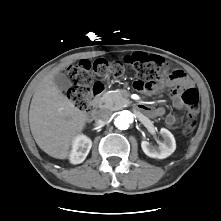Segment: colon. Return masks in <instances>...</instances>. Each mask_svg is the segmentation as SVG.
Segmentation results:
<instances>
[{
    "instance_id": "5ec220e1",
    "label": "colon",
    "mask_w": 221,
    "mask_h": 221,
    "mask_svg": "<svg viewBox=\"0 0 221 221\" xmlns=\"http://www.w3.org/2000/svg\"><path fill=\"white\" fill-rule=\"evenodd\" d=\"M129 66L136 72V88L139 90H149L160 81L165 62L160 56L147 53H135L126 62L107 61L105 59H98L94 62L88 60L79 61L70 65L67 69L71 82V87L67 90L68 99L79 109H87L94 76L119 78ZM178 90L181 99L188 107L183 134L190 136L197 124L199 93L196 88L191 86H178Z\"/></svg>"
}]
</instances>
